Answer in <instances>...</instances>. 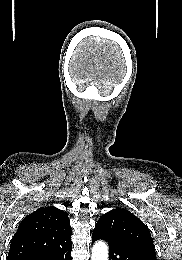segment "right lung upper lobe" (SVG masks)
<instances>
[{
	"instance_id": "obj_1",
	"label": "right lung upper lobe",
	"mask_w": 182,
	"mask_h": 260,
	"mask_svg": "<svg viewBox=\"0 0 182 260\" xmlns=\"http://www.w3.org/2000/svg\"><path fill=\"white\" fill-rule=\"evenodd\" d=\"M71 226L66 212L53 206L27 215L13 236L7 260L31 257L72 245Z\"/></svg>"
}]
</instances>
